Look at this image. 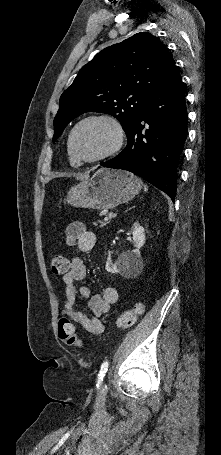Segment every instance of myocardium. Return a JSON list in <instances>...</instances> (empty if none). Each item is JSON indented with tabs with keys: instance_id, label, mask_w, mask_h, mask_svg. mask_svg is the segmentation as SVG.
<instances>
[{
	"instance_id": "obj_1",
	"label": "myocardium",
	"mask_w": 221,
	"mask_h": 455,
	"mask_svg": "<svg viewBox=\"0 0 221 455\" xmlns=\"http://www.w3.org/2000/svg\"><path fill=\"white\" fill-rule=\"evenodd\" d=\"M90 122L104 123L112 129L114 142L112 146L104 153L91 158L80 157L75 150V138L78 130L85 124ZM125 140L124 128L121 122L114 116L107 113L91 114L80 119L72 128L69 140L68 149L72 158L78 163H95L102 161L115 153H117L123 146Z\"/></svg>"
}]
</instances>
